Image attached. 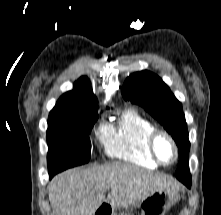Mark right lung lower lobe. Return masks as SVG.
I'll return each mask as SVG.
<instances>
[{"label":"right lung lower lobe","mask_w":221,"mask_h":215,"mask_svg":"<svg viewBox=\"0 0 221 215\" xmlns=\"http://www.w3.org/2000/svg\"><path fill=\"white\" fill-rule=\"evenodd\" d=\"M53 176H54L53 174H49L50 179H51Z\"/></svg>","instance_id":"right-lung-lower-lobe-1"}]
</instances>
